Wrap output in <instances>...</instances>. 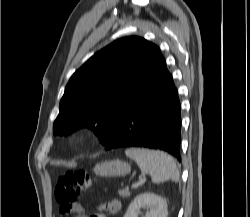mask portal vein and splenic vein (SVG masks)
<instances>
[{
    "label": "portal vein and splenic vein",
    "mask_w": 250,
    "mask_h": 217,
    "mask_svg": "<svg viewBox=\"0 0 250 217\" xmlns=\"http://www.w3.org/2000/svg\"><path fill=\"white\" fill-rule=\"evenodd\" d=\"M144 183V180H140L137 183L132 184V188H137L138 186L142 185ZM129 187L127 186L126 189H128Z\"/></svg>",
    "instance_id": "18ae733b"
}]
</instances>
